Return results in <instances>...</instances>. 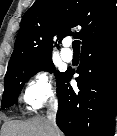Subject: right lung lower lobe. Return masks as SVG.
<instances>
[{
	"mask_svg": "<svg viewBox=\"0 0 117 136\" xmlns=\"http://www.w3.org/2000/svg\"><path fill=\"white\" fill-rule=\"evenodd\" d=\"M57 82L58 127L66 136H113L117 113V25L82 45L77 89Z\"/></svg>",
	"mask_w": 117,
	"mask_h": 136,
	"instance_id": "98d812e1",
	"label": "right lung lower lobe"
}]
</instances>
